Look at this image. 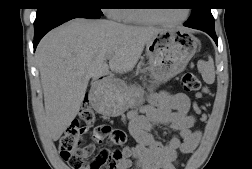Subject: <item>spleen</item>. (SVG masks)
Instances as JSON below:
<instances>
[{
  "label": "spleen",
  "instance_id": "3e777b00",
  "mask_svg": "<svg viewBox=\"0 0 252 169\" xmlns=\"http://www.w3.org/2000/svg\"><path fill=\"white\" fill-rule=\"evenodd\" d=\"M197 67L202 75L203 80L207 84H213L215 81V67L212 57L209 56L208 61L200 60L197 64Z\"/></svg>",
  "mask_w": 252,
  "mask_h": 169
}]
</instances>
